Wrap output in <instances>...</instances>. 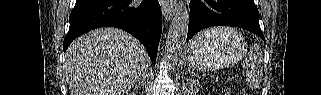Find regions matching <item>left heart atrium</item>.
Wrapping results in <instances>:
<instances>
[{
    "label": "left heart atrium",
    "mask_w": 321,
    "mask_h": 95,
    "mask_svg": "<svg viewBox=\"0 0 321 95\" xmlns=\"http://www.w3.org/2000/svg\"><path fill=\"white\" fill-rule=\"evenodd\" d=\"M168 2H171V3H172L173 1H172V0H170V1H168Z\"/></svg>",
    "instance_id": "1"
}]
</instances>
